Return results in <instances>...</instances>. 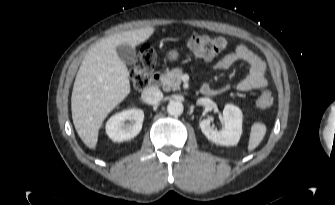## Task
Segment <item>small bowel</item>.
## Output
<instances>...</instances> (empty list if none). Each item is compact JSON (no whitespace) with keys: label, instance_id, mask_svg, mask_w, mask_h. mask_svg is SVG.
Instances as JSON below:
<instances>
[{"label":"small bowel","instance_id":"1","mask_svg":"<svg viewBox=\"0 0 335 205\" xmlns=\"http://www.w3.org/2000/svg\"><path fill=\"white\" fill-rule=\"evenodd\" d=\"M238 61H244L250 66L248 75L236 85L238 91L247 92L267 86L268 80L264 62L245 45L237 46L234 50L218 59L214 62L213 68L218 70L228 69ZM229 89L230 86L226 85L220 89L213 90H215L216 93H220Z\"/></svg>","mask_w":335,"mask_h":205}]
</instances>
